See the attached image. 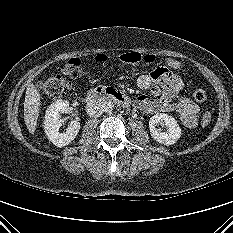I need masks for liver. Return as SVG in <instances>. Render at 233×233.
<instances>
[{"mask_svg":"<svg viewBox=\"0 0 233 233\" xmlns=\"http://www.w3.org/2000/svg\"><path fill=\"white\" fill-rule=\"evenodd\" d=\"M40 94L34 84H29L26 90L24 102V119L28 131L34 134L37 128V120L40 112Z\"/></svg>","mask_w":233,"mask_h":233,"instance_id":"1","label":"liver"}]
</instances>
